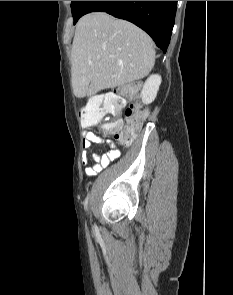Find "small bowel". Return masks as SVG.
Returning <instances> with one entry per match:
<instances>
[{
	"label": "small bowel",
	"instance_id": "1",
	"mask_svg": "<svg viewBox=\"0 0 233 295\" xmlns=\"http://www.w3.org/2000/svg\"><path fill=\"white\" fill-rule=\"evenodd\" d=\"M103 139L92 131H87L84 134L82 141V159L87 167L85 174L87 176H94L98 174L102 169L107 167L112 161L116 160L120 156L119 149L111 147V149L103 154H92L93 164H89L88 150L91 148L93 143H102ZM110 144V143H109ZM111 145V144H110Z\"/></svg>",
	"mask_w": 233,
	"mask_h": 295
}]
</instances>
